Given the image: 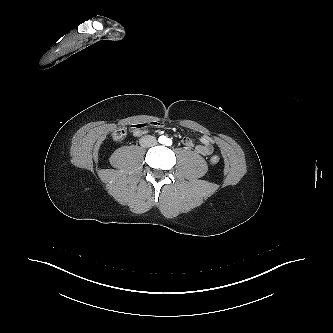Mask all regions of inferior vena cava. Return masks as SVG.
Here are the masks:
<instances>
[{"label":"inferior vena cava","instance_id":"obj_1","mask_svg":"<svg viewBox=\"0 0 333 333\" xmlns=\"http://www.w3.org/2000/svg\"><path fill=\"white\" fill-rule=\"evenodd\" d=\"M139 143L142 147H150L157 143V140L154 136L146 135L139 140Z\"/></svg>","mask_w":333,"mask_h":333}]
</instances>
